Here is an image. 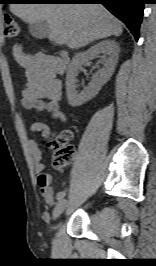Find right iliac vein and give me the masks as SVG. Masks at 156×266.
I'll return each instance as SVG.
<instances>
[{"label": "right iliac vein", "mask_w": 156, "mask_h": 266, "mask_svg": "<svg viewBox=\"0 0 156 266\" xmlns=\"http://www.w3.org/2000/svg\"><path fill=\"white\" fill-rule=\"evenodd\" d=\"M66 207H67V201L61 200L53 210V215H52L53 220H56L64 212Z\"/></svg>", "instance_id": "63e3f726"}]
</instances>
